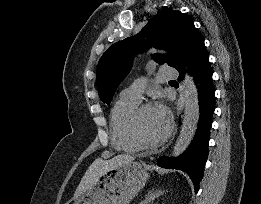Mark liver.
I'll return each instance as SVG.
<instances>
[{
    "instance_id": "obj_1",
    "label": "liver",
    "mask_w": 261,
    "mask_h": 204,
    "mask_svg": "<svg viewBox=\"0 0 261 204\" xmlns=\"http://www.w3.org/2000/svg\"><path fill=\"white\" fill-rule=\"evenodd\" d=\"M134 160L133 156L120 154L114 156L109 160H103L102 158L96 159L87 169L82 177L73 198L79 197L84 191L93 186L98 179L108 170L130 163Z\"/></svg>"
}]
</instances>
